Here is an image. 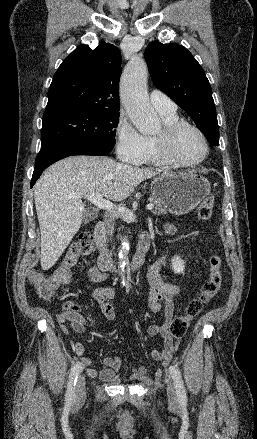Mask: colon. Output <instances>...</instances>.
Returning <instances> with one entry per match:
<instances>
[{
    "mask_svg": "<svg viewBox=\"0 0 257 439\" xmlns=\"http://www.w3.org/2000/svg\"><path fill=\"white\" fill-rule=\"evenodd\" d=\"M214 197H206L198 209L199 218L203 221L210 219L214 208ZM94 252L93 238L89 233H82L63 258L61 265L52 276L41 273L31 274V283L41 298L54 296L57 289L69 282L71 269L81 258L88 257ZM222 283V259L219 254H212L209 258V276L202 285L198 296L187 306L185 314L176 316L169 324L168 333L172 338H181L186 333L190 322L200 314L204 305L210 302L220 289Z\"/></svg>",
    "mask_w": 257,
    "mask_h": 439,
    "instance_id": "5ec220e1",
    "label": "colon"
}]
</instances>
